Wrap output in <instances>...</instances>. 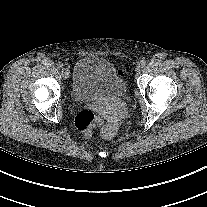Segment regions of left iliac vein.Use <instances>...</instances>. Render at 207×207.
Instances as JSON below:
<instances>
[{
	"mask_svg": "<svg viewBox=\"0 0 207 207\" xmlns=\"http://www.w3.org/2000/svg\"><path fill=\"white\" fill-rule=\"evenodd\" d=\"M141 69H142V65H141L140 63H138V64L136 65L135 71H136V72H140Z\"/></svg>",
	"mask_w": 207,
	"mask_h": 207,
	"instance_id": "1",
	"label": "left iliac vein"
}]
</instances>
